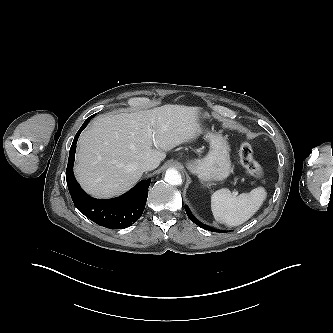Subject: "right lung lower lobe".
Segmentation results:
<instances>
[{
	"instance_id": "right-lung-lower-lobe-1",
	"label": "right lung lower lobe",
	"mask_w": 333,
	"mask_h": 333,
	"mask_svg": "<svg viewBox=\"0 0 333 333\" xmlns=\"http://www.w3.org/2000/svg\"><path fill=\"white\" fill-rule=\"evenodd\" d=\"M94 116L95 114L87 118L73 140L66 169L67 186L75 207L87 218L110 229L126 228L141 217L151 179L139 182L124 195L113 199H95L81 189L73 174L76 144L80 133Z\"/></svg>"
}]
</instances>
